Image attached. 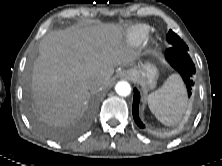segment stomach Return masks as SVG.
<instances>
[{
	"instance_id": "0dacf381",
	"label": "stomach",
	"mask_w": 222,
	"mask_h": 166,
	"mask_svg": "<svg viewBox=\"0 0 222 166\" xmlns=\"http://www.w3.org/2000/svg\"><path fill=\"white\" fill-rule=\"evenodd\" d=\"M127 74L145 88L153 89L158 77V70L153 64L145 63L139 69H129Z\"/></svg>"
}]
</instances>
